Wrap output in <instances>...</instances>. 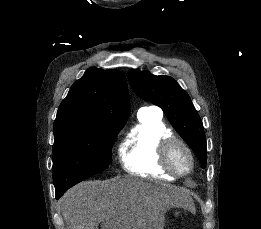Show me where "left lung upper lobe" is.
<instances>
[{"label": "left lung upper lobe", "mask_w": 261, "mask_h": 229, "mask_svg": "<svg viewBox=\"0 0 261 229\" xmlns=\"http://www.w3.org/2000/svg\"><path fill=\"white\" fill-rule=\"evenodd\" d=\"M128 79L133 91L143 100L159 106L173 128L193 149L204 168L206 138L202 121L186 91L170 76L130 69Z\"/></svg>", "instance_id": "left-lung-upper-lobe-1"}]
</instances>
